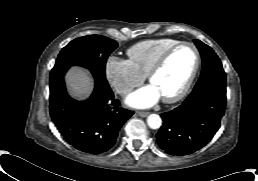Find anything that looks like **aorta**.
I'll list each match as a JSON object with an SVG mask.
<instances>
[{"label": "aorta", "instance_id": "obj_1", "mask_svg": "<svg viewBox=\"0 0 258 181\" xmlns=\"http://www.w3.org/2000/svg\"><path fill=\"white\" fill-rule=\"evenodd\" d=\"M147 124L151 129H158L162 125L161 117L157 114H150L147 117Z\"/></svg>", "mask_w": 258, "mask_h": 181}]
</instances>
